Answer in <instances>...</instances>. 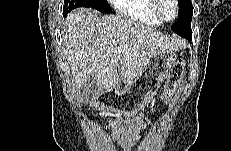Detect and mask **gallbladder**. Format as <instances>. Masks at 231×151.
Listing matches in <instances>:
<instances>
[{"mask_svg":"<svg viewBox=\"0 0 231 151\" xmlns=\"http://www.w3.org/2000/svg\"><path fill=\"white\" fill-rule=\"evenodd\" d=\"M101 90L96 84V79L91 76L83 85L81 95L84 103L94 102L100 95Z\"/></svg>","mask_w":231,"mask_h":151,"instance_id":"bac80fb5","label":"gallbladder"}]
</instances>
